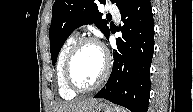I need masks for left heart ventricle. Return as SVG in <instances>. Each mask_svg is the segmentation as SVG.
Masks as SVG:
<instances>
[{
	"label": "left heart ventricle",
	"mask_w": 193,
	"mask_h": 112,
	"mask_svg": "<svg viewBox=\"0 0 193 112\" xmlns=\"http://www.w3.org/2000/svg\"><path fill=\"white\" fill-rule=\"evenodd\" d=\"M104 68L102 50L96 44L82 46L74 56L71 73L77 85L89 87L100 77Z\"/></svg>",
	"instance_id": "1"
}]
</instances>
